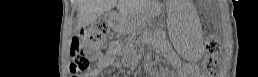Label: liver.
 <instances>
[{
	"instance_id": "liver-1",
	"label": "liver",
	"mask_w": 258,
	"mask_h": 77,
	"mask_svg": "<svg viewBox=\"0 0 258 77\" xmlns=\"http://www.w3.org/2000/svg\"><path fill=\"white\" fill-rule=\"evenodd\" d=\"M117 6L119 13L126 16L130 11L126 0H79V28L94 22L100 15Z\"/></svg>"
}]
</instances>
